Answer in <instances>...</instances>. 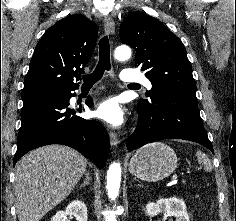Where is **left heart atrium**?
Listing matches in <instances>:
<instances>
[{"instance_id": "1", "label": "left heart atrium", "mask_w": 236, "mask_h": 221, "mask_svg": "<svg viewBox=\"0 0 236 221\" xmlns=\"http://www.w3.org/2000/svg\"><path fill=\"white\" fill-rule=\"evenodd\" d=\"M96 118L113 127H120L126 121V110L118 98L109 97L101 101L95 108Z\"/></svg>"}]
</instances>
